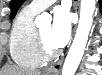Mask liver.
<instances>
[{"label":"liver","mask_w":102,"mask_h":75,"mask_svg":"<svg viewBox=\"0 0 102 75\" xmlns=\"http://www.w3.org/2000/svg\"><path fill=\"white\" fill-rule=\"evenodd\" d=\"M0 75H41V72L29 71L15 65H8L0 70Z\"/></svg>","instance_id":"6515ba94"}]
</instances>
